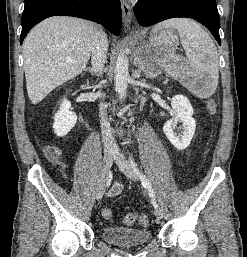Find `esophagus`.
Segmentation results:
<instances>
[{
	"instance_id": "obj_1",
	"label": "esophagus",
	"mask_w": 247,
	"mask_h": 257,
	"mask_svg": "<svg viewBox=\"0 0 247 257\" xmlns=\"http://www.w3.org/2000/svg\"><path fill=\"white\" fill-rule=\"evenodd\" d=\"M121 9L125 27L130 28L132 22L131 6L126 0H121Z\"/></svg>"
}]
</instances>
